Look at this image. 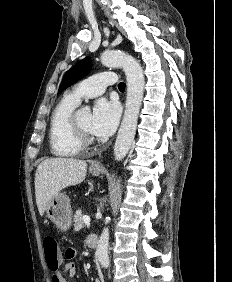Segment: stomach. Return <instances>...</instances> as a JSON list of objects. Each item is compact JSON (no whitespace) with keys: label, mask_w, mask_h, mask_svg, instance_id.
I'll use <instances>...</instances> for the list:
<instances>
[{"label":"stomach","mask_w":232,"mask_h":282,"mask_svg":"<svg viewBox=\"0 0 232 282\" xmlns=\"http://www.w3.org/2000/svg\"><path fill=\"white\" fill-rule=\"evenodd\" d=\"M101 169H90L94 176L101 173ZM47 218L52 221L57 228L66 231L71 226L72 209L69 197L61 192H58L49 202L46 208Z\"/></svg>","instance_id":"obj_1"}]
</instances>
